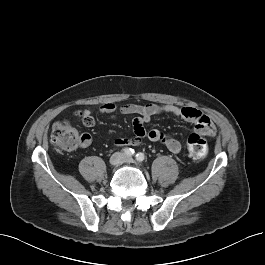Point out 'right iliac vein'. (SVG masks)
<instances>
[{
	"label": "right iliac vein",
	"instance_id": "right-iliac-vein-1",
	"mask_svg": "<svg viewBox=\"0 0 265 265\" xmlns=\"http://www.w3.org/2000/svg\"><path fill=\"white\" fill-rule=\"evenodd\" d=\"M123 160V155L121 153H114L111 157H110V164L112 166H116L118 165L119 163H121V161Z\"/></svg>",
	"mask_w": 265,
	"mask_h": 265
}]
</instances>
